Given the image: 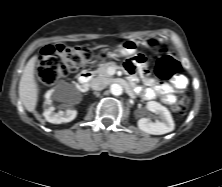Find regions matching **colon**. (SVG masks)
Masks as SVG:
<instances>
[{
	"label": "colon",
	"mask_w": 222,
	"mask_h": 187,
	"mask_svg": "<svg viewBox=\"0 0 222 187\" xmlns=\"http://www.w3.org/2000/svg\"><path fill=\"white\" fill-rule=\"evenodd\" d=\"M89 59L87 52L63 45L48 46L42 52L39 60L37 75L40 83L45 86L53 85L60 77L81 71ZM139 67L146 68L148 62L145 58L137 61ZM180 63L169 55L160 56L154 67L156 76L162 80L175 77L180 71ZM189 97L181 96L174 104V110L180 114L185 113Z\"/></svg>",
	"instance_id": "obj_1"
}]
</instances>
